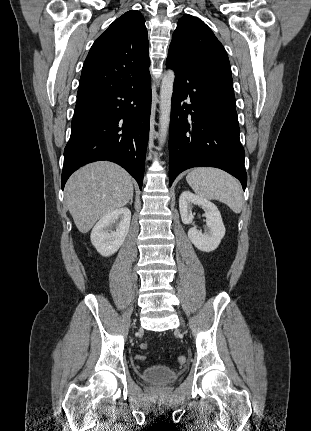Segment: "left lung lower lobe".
<instances>
[{
  "label": "left lung lower lobe",
  "mask_w": 311,
  "mask_h": 431,
  "mask_svg": "<svg viewBox=\"0 0 311 431\" xmlns=\"http://www.w3.org/2000/svg\"><path fill=\"white\" fill-rule=\"evenodd\" d=\"M175 72L169 132V185L197 166L220 168L247 185L233 83L166 60ZM185 100L188 101L185 102Z\"/></svg>",
  "instance_id": "left-lung-lower-lobe-1"
}]
</instances>
